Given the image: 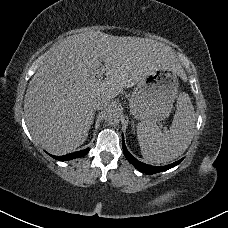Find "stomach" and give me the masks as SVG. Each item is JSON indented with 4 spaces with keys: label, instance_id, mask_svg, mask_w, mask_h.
Instances as JSON below:
<instances>
[{
    "label": "stomach",
    "instance_id": "obj_1",
    "mask_svg": "<svg viewBox=\"0 0 228 228\" xmlns=\"http://www.w3.org/2000/svg\"><path fill=\"white\" fill-rule=\"evenodd\" d=\"M178 83L177 74L172 70H158L146 76L130 96L132 117L153 124L166 120L173 109Z\"/></svg>",
    "mask_w": 228,
    "mask_h": 228
}]
</instances>
